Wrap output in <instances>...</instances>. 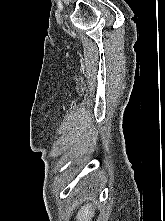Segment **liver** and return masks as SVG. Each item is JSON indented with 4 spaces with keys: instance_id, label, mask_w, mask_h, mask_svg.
I'll return each mask as SVG.
<instances>
[{
    "instance_id": "liver-1",
    "label": "liver",
    "mask_w": 165,
    "mask_h": 221,
    "mask_svg": "<svg viewBox=\"0 0 165 221\" xmlns=\"http://www.w3.org/2000/svg\"><path fill=\"white\" fill-rule=\"evenodd\" d=\"M94 217V211L92 205L87 204L84 205L77 213L76 220L77 221H91Z\"/></svg>"
}]
</instances>
